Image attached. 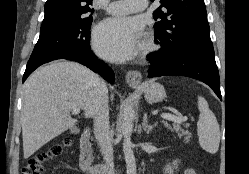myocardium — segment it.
Returning <instances> with one entry per match:
<instances>
[{
	"instance_id": "1",
	"label": "myocardium",
	"mask_w": 249,
	"mask_h": 174,
	"mask_svg": "<svg viewBox=\"0 0 249 174\" xmlns=\"http://www.w3.org/2000/svg\"><path fill=\"white\" fill-rule=\"evenodd\" d=\"M157 49V45L152 37H147L141 46L142 55H147L154 52Z\"/></svg>"
}]
</instances>
